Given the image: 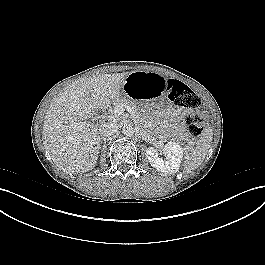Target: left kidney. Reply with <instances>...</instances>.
Here are the masks:
<instances>
[{"label": "left kidney", "mask_w": 265, "mask_h": 265, "mask_svg": "<svg viewBox=\"0 0 265 265\" xmlns=\"http://www.w3.org/2000/svg\"><path fill=\"white\" fill-rule=\"evenodd\" d=\"M163 153L166 158L159 156L157 149L148 147L146 150V157L151 166L158 171L174 174L179 170L182 158L183 148L176 142L170 141L165 144Z\"/></svg>", "instance_id": "1"}]
</instances>
